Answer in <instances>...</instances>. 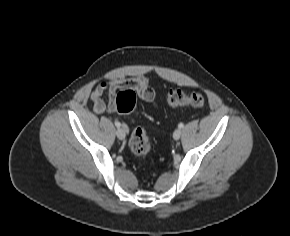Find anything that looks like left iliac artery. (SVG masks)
Masks as SVG:
<instances>
[{"label": "left iliac artery", "mask_w": 290, "mask_h": 236, "mask_svg": "<svg viewBox=\"0 0 290 236\" xmlns=\"http://www.w3.org/2000/svg\"><path fill=\"white\" fill-rule=\"evenodd\" d=\"M178 127H179V128H183V127H184V124H183V123H180V124L178 125Z\"/></svg>", "instance_id": "1"}]
</instances>
